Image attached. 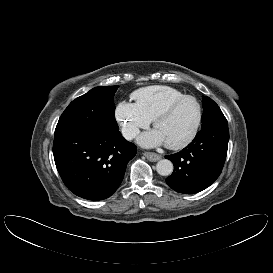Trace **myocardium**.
Wrapping results in <instances>:
<instances>
[{"instance_id":"obj_1","label":"myocardium","mask_w":273,"mask_h":273,"mask_svg":"<svg viewBox=\"0 0 273 273\" xmlns=\"http://www.w3.org/2000/svg\"><path fill=\"white\" fill-rule=\"evenodd\" d=\"M185 100H192L196 106H197V119H196V123L194 125L193 130L191 131V133L188 135V137H186L183 141L177 143V144H166V146L170 149L173 150H179V149H183L186 146H188L197 136L200 126H201V122H202V107L201 104L199 103V101L191 96V95H184L180 98H177L173 101H171L170 103H168L153 119V126L154 128L157 126V124L167 118L170 113L172 112V110L180 103H182Z\"/></svg>"}]
</instances>
